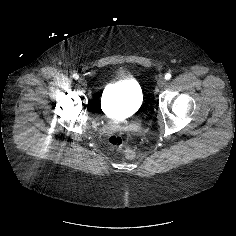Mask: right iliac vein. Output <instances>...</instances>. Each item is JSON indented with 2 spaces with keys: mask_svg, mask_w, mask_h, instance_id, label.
<instances>
[{
  "mask_svg": "<svg viewBox=\"0 0 236 236\" xmlns=\"http://www.w3.org/2000/svg\"><path fill=\"white\" fill-rule=\"evenodd\" d=\"M79 83L82 85V86H86L87 82L84 78H79Z\"/></svg>",
  "mask_w": 236,
  "mask_h": 236,
  "instance_id": "63e3f726",
  "label": "right iliac vein"
}]
</instances>
